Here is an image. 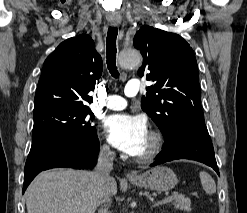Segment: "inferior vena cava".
<instances>
[{
    "label": "inferior vena cava",
    "instance_id": "inferior-vena-cava-1",
    "mask_svg": "<svg viewBox=\"0 0 247 213\" xmlns=\"http://www.w3.org/2000/svg\"><path fill=\"white\" fill-rule=\"evenodd\" d=\"M113 160L114 152L108 146H103L100 149L98 162L94 170L103 186L100 194V209L98 213H110L109 208L111 207L112 196L109 190V183L112 180L110 172L113 169Z\"/></svg>",
    "mask_w": 247,
    "mask_h": 213
}]
</instances>
